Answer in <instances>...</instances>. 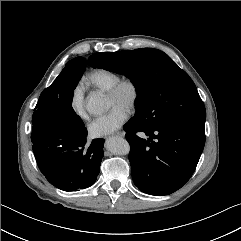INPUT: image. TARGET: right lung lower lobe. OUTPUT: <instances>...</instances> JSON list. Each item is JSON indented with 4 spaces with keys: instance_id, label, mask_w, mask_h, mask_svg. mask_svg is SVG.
<instances>
[{
    "instance_id": "98d812e1",
    "label": "right lung lower lobe",
    "mask_w": 241,
    "mask_h": 241,
    "mask_svg": "<svg viewBox=\"0 0 241 241\" xmlns=\"http://www.w3.org/2000/svg\"><path fill=\"white\" fill-rule=\"evenodd\" d=\"M87 130L66 145L57 146L32 128L31 141L36 162L42 174L55 187L77 191L90 187L97 179L103 158L104 139L92 140L86 146Z\"/></svg>"
}]
</instances>
